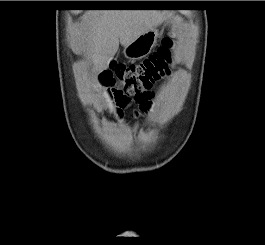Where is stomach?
<instances>
[{
	"label": "stomach",
	"instance_id": "obj_1",
	"mask_svg": "<svg viewBox=\"0 0 265 245\" xmlns=\"http://www.w3.org/2000/svg\"><path fill=\"white\" fill-rule=\"evenodd\" d=\"M158 30L156 27L143 33L131 44L124 47V55L130 60H137L147 56L157 43Z\"/></svg>",
	"mask_w": 265,
	"mask_h": 245
}]
</instances>
